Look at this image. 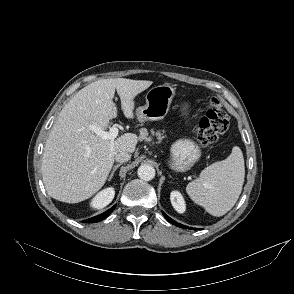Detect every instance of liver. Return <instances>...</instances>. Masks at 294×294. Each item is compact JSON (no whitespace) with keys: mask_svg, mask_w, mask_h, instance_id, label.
Returning <instances> with one entry per match:
<instances>
[{"mask_svg":"<svg viewBox=\"0 0 294 294\" xmlns=\"http://www.w3.org/2000/svg\"><path fill=\"white\" fill-rule=\"evenodd\" d=\"M152 81L101 79L82 88L61 110L45 144L42 176L48 195L58 201L78 203L98 192L107 180L120 151L133 153L138 137L125 133L116 140L102 139L89 129H105L117 116L115 90L121 109L134 118V98Z\"/></svg>","mask_w":294,"mask_h":294,"instance_id":"liver-1","label":"liver"}]
</instances>
